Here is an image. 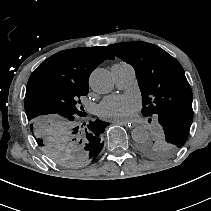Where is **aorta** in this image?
Returning a JSON list of instances; mask_svg holds the SVG:
<instances>
[{"label":"aorta","instance_id":"1","mask_svg":"<svg viewBox=\"0 0 211 211\" xmlns=\"http://www.w3.org/2000/svg\"><path fill=\"white\" fill-rule=\"evenodd\" d=\"M92 90L99 94H106L114 88V81L109 71L98 68L95 69L89 79ZM132 139L140 143L149 138L148 130L143 126H137L132 130Z\"/></svg>","mask_w":211,"mask_h":211}]
</instances>
